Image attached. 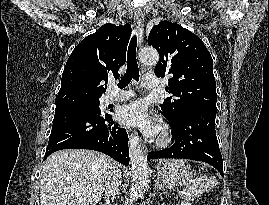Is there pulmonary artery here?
Segmentation results:
<instances>
[{
  "instance_id": "e3ab8cb5",
  "label": "pulmonary artery",
  "mask_w": 269,
  "mask_h": 205,
  "mask_svg": "<svg viewBox=\"0 0 269 205\" xmlns=\"http://www.w3.org/2000/svg\"><path fill=\"white\" fill-rule=\"evenodd\" d=\"M142 85L146 89H155L158 87L159 80L154 76H144L142 78ZM134 96V93L129 90H119L115 84H111L110 91L103 98V105H108L110 103L119 102L123 100L130 99Z\"/></svg>"
}]
</instances>
